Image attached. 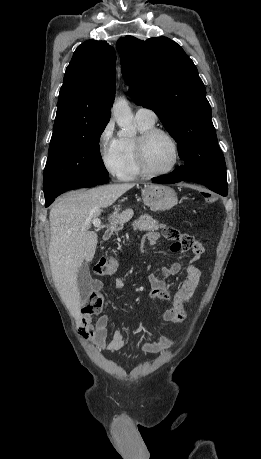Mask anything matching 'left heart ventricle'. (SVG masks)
Masks as SVG:
<instances>
[{
    "mask_svg": "<svg viewBox=\"0 0 261 459\" xmlns=\"http://www.w3.org/2000/svg\"><path fill=\"white\" fill-rule=\"evenodd\" d=\"M174 159V150L171 141L164 135L154 136L146 149L148 167L153 171L168 169Z\"/></svg>",
    "mask_w": 261,
    "mask_h": 459,
    "instance_id": "obj_1",
    "label": "left heart ventricle"
}]
</instances>
